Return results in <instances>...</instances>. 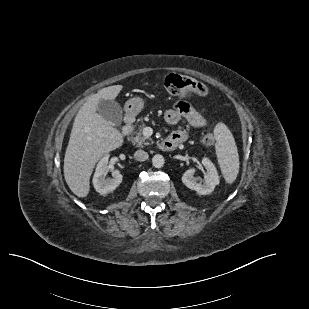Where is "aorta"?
Instances as JSON below:
<instances>
[{"mask_svg": "<svg viewBox=\"0 0 309 309\" xmlns=\"http://www.w3.org/2000/svg\"><path fill=\"white\" fill-rule=\"evenodd\" d=\"M165 160L162 155H154L152 158V164L155 168H161L164 166Z\"/></svg>", "mask_w": 309, "mask_h": 309, "instance_id": "obj_1", "label": "aorta"}]
</instances>
